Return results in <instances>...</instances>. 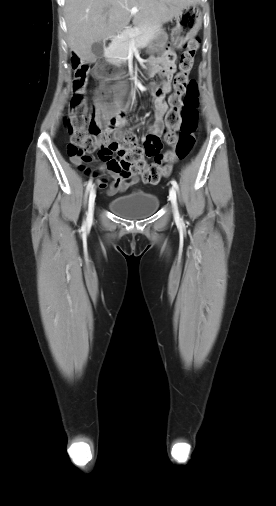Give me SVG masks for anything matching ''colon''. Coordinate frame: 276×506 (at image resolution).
<instances>
[{
    "label": "colon",
    "mask_w": 276,
    "mask_h": 506,
    "mask_svg": "<svg viewBox=\"0 0 276 506\" xmlns=\"http://www.w3.org/2000/svg\"><path fill=\"white\" fill-rule=\"evenodd\" d=\"M198 46L197 38L188 42L187 49L178 62L179 72L173 79L174 92L168 99L170 109L165 116L167 129L163 135L164 141L171 149L150 164L146 157L160 150V137L149 134L143 143L139 144L134 133L117 129L119 116L115 114L114 106H109L107 111L89 109L86 97L81 93L87 83L89 67L81 63L79 54L70 51L68 60L74 70V83L80 89L79 93L71 98L64 117V126L69 134L67 155L70 161L79 170L88 173L89 169L85 164L89 161V155L98 151L102 164L116 157L120 159L124 170L140 175L145 183L157 184L162 176H169L174 164L185 159L195 145L198 128V88L196 82L189 78V72ZM100 60L105 63L108 59L103 56ZM105 74L104 67L97 69L98 76ZM159 94L160 91H156V95Z\"/></svg>",
    "instance_id": "1"
}]
</instances>
